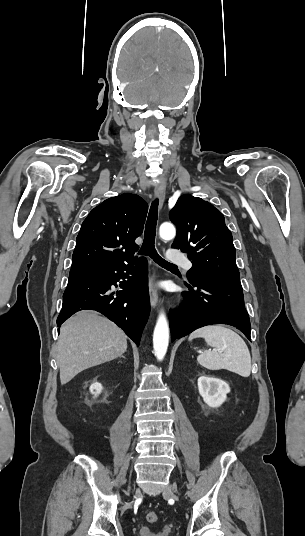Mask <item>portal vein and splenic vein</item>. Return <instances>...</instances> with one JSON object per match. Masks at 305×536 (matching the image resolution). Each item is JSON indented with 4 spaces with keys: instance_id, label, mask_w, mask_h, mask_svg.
I'll list each match as a JSON object with an SVG mask.
<instances>
[{
    "instance_id": "portal-vein-and-splenic-vein-1",
    "label": "portal vein and splenic vein",
    "mask_w": 305,
    "mask_h": 536,
    "mask_svg": "<svg viewBox=\"0 0 305 536\" xmlns=\"http://www.w3.org/2000/svg\"><path fill=\"white\" fill-rule=\"evenodd\" d=\"M216 352H217V350H216ZM219 352H222V350H219Z\"/></svg>"
}]
</instances>
